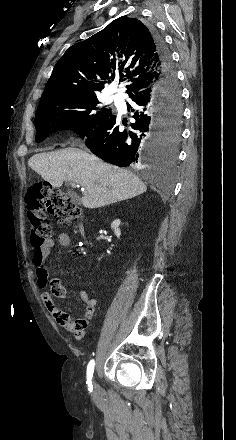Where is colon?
<instances>
[{"label": "colon", "mask_w": 236, "mask_h": 440, "mask_svg": "<svg viewBox=\"0 0 236 440\" xmlns=\"http://www.w3.org/2000/svg\"><path fill=\"white\" fill-rule=\"evenodd\" d=\"M25 201L31 225V243L34 247L41 246L52 235L48 215L63 224L82 217V210L71 197L47 183L31 186ZM61 321L72 320L67 318Z\"/></svg>", "instance_id": "colon-1"}]
</instances>
